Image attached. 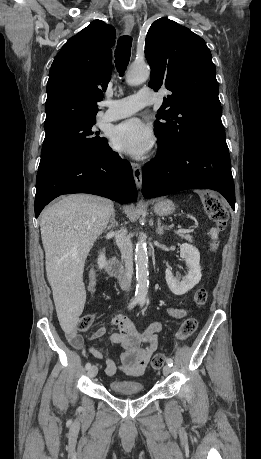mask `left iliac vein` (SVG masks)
I'll use <instances>...</instances> for the list:
<instances>
[{
    "label": "left iliac vein",
    "mask_w": 261,
    "mask_h": 459,
    "mask_svg": "<svg viewBox=\"0 0 261 459\" xmlns=\"http://www.w3.org/2000/svg\"><path fill=\"white\" fill-rule=\"evenodd\" d=\"M171 371H172V369H171V367H170L169 365H165V366L163 367V374H164L165 376L169 375V374L171 373Z\"/></svg>",
    "instance_id": "obj_1"
}]
</instances>
